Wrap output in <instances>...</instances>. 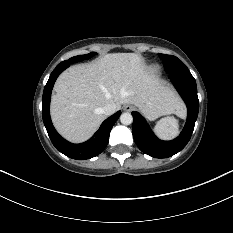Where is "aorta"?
<instances>
[{
    "mask_svg": "<svg viewBox=\"0 0 233 233\" xmlns=\"http://www.w3.org/2000/svg\"><path fill=\"white\" fill-rule=\"evenodd\" d=\"M120 122L124 125H130L133 122V116L128 112L122 113L120 116Z\"/></svg>",
    "mask_w": 233,
    "mask_h": 233,
    "instance_id": "762f6f07",
    "label": "aorta"
}]
</instances>
